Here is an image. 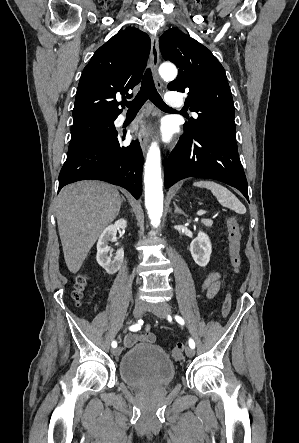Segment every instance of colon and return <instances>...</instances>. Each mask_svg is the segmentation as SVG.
<instances>
[{"instance_id":"5ec220e1","label":"colon","mask_w":299,"mask_h":443,"mask_svg":"<svg viewBox=\"0 0 299 443\" xmlns=\"http://www.w3.org/2000/svg\"><path fill=\"white\" fill-rule=\"evenodd\" d=\"M227 230H228L229 256L234 271L236 274H238L242 267V258H241L242 230L236 218L230 217L227 220ZM86 288H87L86 276L85 275L78 276L75 283V289L73 291V298L76 302H80L84 298ZM231 307H232V296L231 294H227L221 310V316L223 318H226L229 315ZM183 354H184V345L182 344L176 345L172 350V356L175 360L182 359Z\"/></svg>"}]
</instances>
